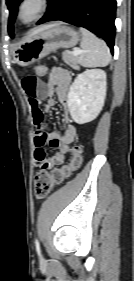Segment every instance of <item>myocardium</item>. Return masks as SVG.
Masks as SVG:
<instances>
[{
  "label": "myocardium",
  "instance_id": "myocardium-1",
  "mask_svg": "<svg viewBox=\"0 0 134 281\" xmlns=\"http://www.w3.org/2000/svg\"><path fill=\"white\" fill-rule=\"evenodd\" d=\"M29 4H35L36 8L33 15L29 19L23 18V10ZM50 0H21L17 8V20L24 24H32L39 20L48 10Z\"/></svg>",
  "mask_w": 134,
  "mask_h": 281
}]
</instances>
